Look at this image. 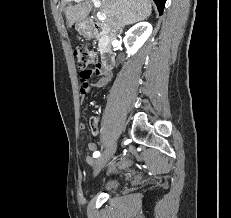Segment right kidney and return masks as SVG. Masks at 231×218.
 Here are the masks:
<instances>
[{
	"label": "right kidney",
	"instance_id": "right-kidney-1",
	"mask_svg": "<svg viewBox=\"0 0 231 218\" xmlns=\"http://www.w3.org/2000/svg\"><path fill=\"white\" fill-rule=\"evenodd\" d=\"M152 33V25L148 22H140L131 27L123 39L125 47L130 55L135 54Z\"/></svg>",
	"mask_w": 231,
	"mask_h": 218
}]
</instances>
